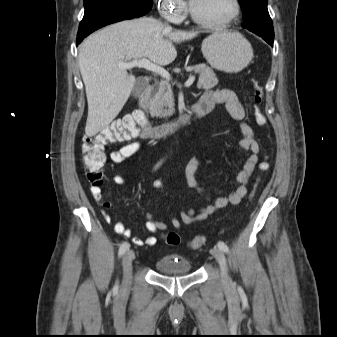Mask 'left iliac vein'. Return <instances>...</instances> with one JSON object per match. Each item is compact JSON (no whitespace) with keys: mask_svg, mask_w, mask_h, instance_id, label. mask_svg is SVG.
Masks as SVG:
<instances>
[{"mask_svg":"<svg viewBox=\"0 0 337 337\" xmlns=\"http://www.w3.org/2000/svg\"><path fill=\"white\" fill-rule=\"evenodd\" d=\"M210 252L215 257L217 262L219 263V266L221 269L222 281L224 285L225 286L231 285L232 281L228 275L227 260H226L224 253L219 249H212Z\"/></svg>","mask_w":337,"mask_h":337,"instance_id":"4c4485c4","label":"left iliac vein"}]
</instances>
